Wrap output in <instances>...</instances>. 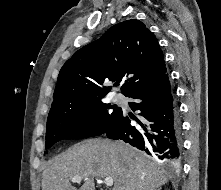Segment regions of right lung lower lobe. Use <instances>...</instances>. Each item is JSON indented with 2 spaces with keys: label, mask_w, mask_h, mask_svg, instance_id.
I'll use <instances>...</instances> for the list:
<instances>
[{
  "label": "right lung lower lobe",
  "mask_w": 221,
  "mask_h": 190,
  "mask_svg": "<svg viewBox=\"0 0 221 190\" xmlns=\"http://www.w3.org/2000/svg\"><path fill=\"white\" fill-rule=\"evenodd\" d=\"M126 97L136 99L129 105L133 111H140L139 119L122 111L105 135L144 150L167 166H178L182 150L181 125L168 73ZM131 119L139 126H132Z\"/></svg>",
  "instance_id": "98d812e1"
}]
</instances>
